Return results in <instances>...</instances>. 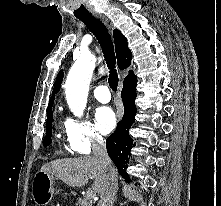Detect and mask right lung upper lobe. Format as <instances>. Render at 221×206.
<instances>
[{
    "mask_svg": "<svg viewBox=\"0 0 221 206\" xmlns=\"http://www.w3.org/2000/svg\"><path fill=\"white\" fill-rule=\"evenodd\" d=\"M113 36H114V42H115L118 67L119 69H126L131 65V59H132V53L128 48L127 39L117 29L113 31ZM132 73H133L132 71H129V75ZM62 80H63V71H60L57 75V78L54 84L52 97L50 98V101H49L48 112L52 111L54 97H55V94L60 90V85L62 83Z\"/></svg>",
    "mask_w": 221,
    "mask_h": 206,
    "instance_id": "obj_1",
    "label": "right lung upper lobe"
}]
</instances>
